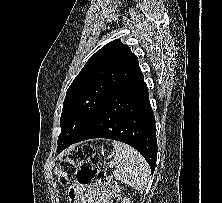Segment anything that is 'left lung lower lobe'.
Instances as JSON below:
<instances>
[{"instance_id":"1","label":"left lung lower lobe","mask_w":222,"mask_h":203,"mask_svg":"<svg viewBox=\"0 0 222 203\" xmlns=\"http://www.w3.org/2000/svg\"><path fill=\"white\" fill-rule=\"evenodd\" d=\"M91 138L113 139L132 146L144 156L153 173L157 159L155 118L139 67L105 100L82 132L57 151Z\"/></svg>"}]
</instances>
